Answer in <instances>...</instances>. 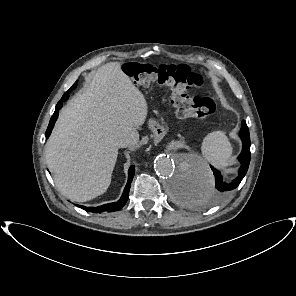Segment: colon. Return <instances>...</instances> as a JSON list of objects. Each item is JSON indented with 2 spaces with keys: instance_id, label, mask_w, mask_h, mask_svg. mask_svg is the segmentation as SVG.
<instances>
[{
  "instance_id": "5ec220e1",
  "label": "colon",
  "mask_w": 296,
  "mask_h": 296,
  "mask_svg": "<svg viewBox=\"0 0 296 296\" xmlns=\"http://www.w3.org/2000/svg\"><path fill=\"white\" fill-rule=\"evenodd\" d=\"M124 72L136 85L148 86L157 83L171 89L172 104L179 118H206L215 113V102L206 96L191 97L188 90L201 87L203 77L191 71L186 65H151L129 62Z\"/></svg>"
}]
</instances>
